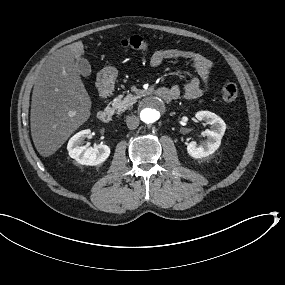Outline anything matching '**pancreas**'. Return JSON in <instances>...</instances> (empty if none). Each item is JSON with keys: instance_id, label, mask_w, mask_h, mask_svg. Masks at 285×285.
<instances>
[{"instance_id": "obj_1", "label": "pancreas", "mask_w": 285, "mask_h": 285, "mask_svg": "<svg viewBox=\"0 0 285 285\" xmlns=\"http://www.w3.org/2000/svg\"><path fill=\"white\" fill-rule=\"evenodd\" d=\"M138 99L139 96L136 93L127 94L125 97L123 95H119L117 98L112 99L111 104L115 108L116 113L121 114L136 103Z\"/></svg>"}]
</instances>
